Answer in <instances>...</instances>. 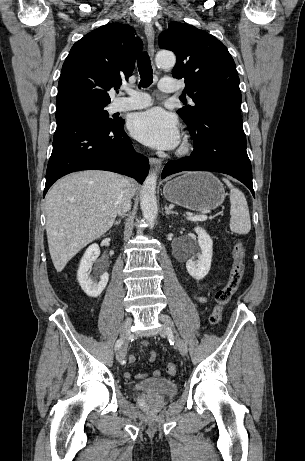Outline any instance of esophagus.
<instances>
[{"mask_svg":"<svg viewBox=\"0 0 305 461\" xmlns=\"http://www.w3.org/2000/svg\"><path fill=\"white\" fill-rule=\"evenodd\" d=\"M145 35L147 38L148 42V48H149V53L151 57L154 56V39H155V33L152 25L150 23H146L144 27ZM150 165L155 168H160L161 167V160L158 158L151 157L149 159Z\"/></svg>","mask_w":305,"mask_h":461,"instance_id":"esophagus-1","label":"esophagus"}]
</instances>
